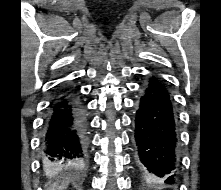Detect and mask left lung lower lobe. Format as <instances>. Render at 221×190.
Returning a JSON list of instances; mask_svg holds the SVG:
<instances>
[{
  "label": "left lung lower lobe",
  "mask_w": 221,
  "mask_h": 190,
  "mask_svg": "<svg viewBox=\"0 0 221 190\" xmlns=\"http://www.w3.org/2000/svg\"><path fill=\"white\" fill-rule=\"evenodd\" d=\"M138 169L175 183L178 168L176 116L170 95L155 76L144 86L135 116Z\"/></svg>",
  "instance_id": "1"
}]
</instances>
